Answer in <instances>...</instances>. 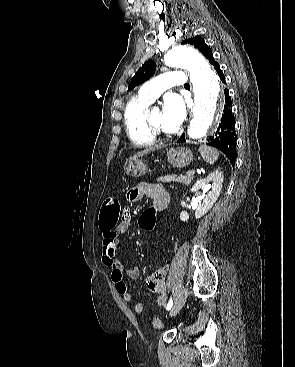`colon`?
<instances>
[{
    "mask_svg": "<svg viewBox=\"0 0 295 367\" xmlns=\"http://www.w3.org/2000/svg\"><path fill=\"white\" fill-rule=\"evenodd\" d=\"M121 204L119 199L110 197L104 203L99 217V226L101 229H111L117 225L121 218ZM157 206H148L147 211L140 217V231H150L155 224Z\"/></svg>",
    "mask_w": 295,
    "mask_h": 367,
    "instance_id": "1",
    "label": "colon"
}]
</instances>
